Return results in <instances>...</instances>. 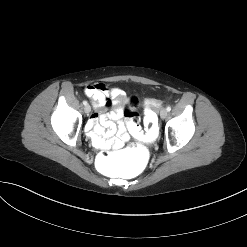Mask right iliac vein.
Segmentation results:
<instances>
[{"label":"right iliac vein","instance_id":"1","mask_svg":"<svg viewBox=\"0 0 247 247\" xmlns=\"http://www.w3.org/2000/svg\"><path fill=\"white\" fill-rule=\"evenodd\" d=\"M84 111H85V113L89 114V113L91 112V107H90V105H88V104L85 105Z\"/></svg>","mask_w":247,"mask_h":247}]
</instances>
